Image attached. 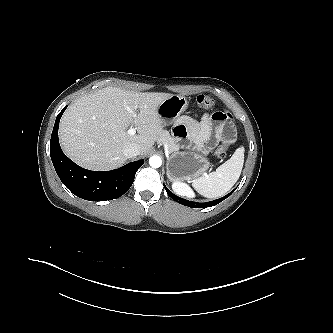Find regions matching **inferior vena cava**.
I'll use <instances>...</instances> for the list:
<instances>
[{
	"instance_id": "602c4592",
	"label": "inferior vena cava",
	"mask_w": 333,
	"mask_h": 333,
	"mask_svg": "<svg viewBox=\"0 0 333 333\" xmlns=\"http://www.w3.org/2000/svg\"><path fill=\"white\" fill-rule=\"evenodd\" d=\"M141 154L140 148L135 144L126 145L123 148V155L126 158L136 157Z\"/></svg>"
}]
</instances>
